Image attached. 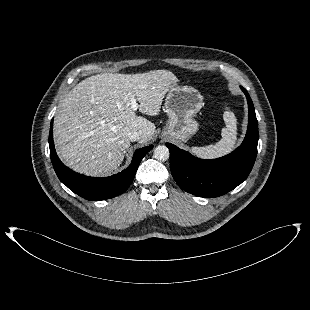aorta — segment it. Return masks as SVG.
Listing matches in <instances>:
<instances>
[{
	"mask_svg": "<svg viewBox=\"0 0 310 310\" xmlns=\"http://www.w3.org/2000/svg\"><path fill=\"white\" fill-rule=\"evenodd\" d=\"M169 156V149L165 145H159L154 149V157L157 160L166 161Z\"/></svg>",
	"mask_w": 310,
	"mask_h": 310,
	"instance_id": "1",
	"label": "aorta"
}]
</instances>
